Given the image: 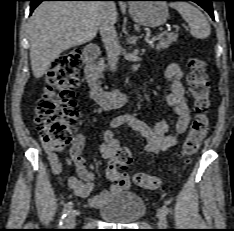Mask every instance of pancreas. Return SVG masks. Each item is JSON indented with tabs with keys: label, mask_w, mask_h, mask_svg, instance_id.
Instances as JSON below:
<instances>
[{
	"label": "pancreas",
	"mask_w": 234,
	"mask_h": 231,
	"mask_svg": "<svg viewBox=\"0 0 234 231\" xmlns=\"http://www.w3.org/2000/svg\"><path fill=\"white\" fill-rule=\"evenodd\" d=\"M177 38H178V34L176 33L166 34L165 38H161L158 45L156 46V49L160 50V49L168 48L171 43L177 41ZM105 68H106V65L104 64V60H100L97 62L96 71L98 75L102 76V72L104 71Z\"/></svg>",
	"instance_id": "cf45deb5"
}]
</instances>
